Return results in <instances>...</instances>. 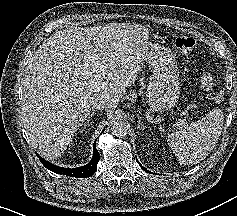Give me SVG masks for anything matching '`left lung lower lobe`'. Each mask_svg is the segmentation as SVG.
Listing matches in <instances>:
<instances>
[{
  "mask_svg": "<svg viewBox=\"0 0 237 216\" xmlns=\"http://www.w3.org/2000/svg\"><path fill=\"white\" fill-rule=\"evenodd\" d=\"M136 161L139 163V166H141V168H142L145 172L151 173L150 171H148L147 169H145V168L140 164V162L137 160V158H136Z\"/></svg>",
  "mask_w": 237,
  "mask_h": 216,
  "instance_id": "1",
  "label": "left lung lower lobe"
}]
</instances>
